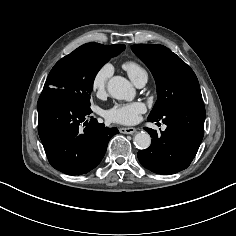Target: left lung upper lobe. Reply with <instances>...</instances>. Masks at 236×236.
Here are the masks:
<instances>
[{
	"label": "left lung upper lobe",
	"mask_w": 236,
	"mask_h": 236,
	"mask_svg": "<svg viewBox=\"0 0 236 236\" xmlns=\"http://www.w3.org/2000/svg\"><path fill=\"white\" fill-rule=\"evenodd\" d=\"M133 52L151 70L157 86L156 101L148 117L161 119L175 104L190 98L202 99L193 70L163 45H132Z\"/></svg>",
	"instance_id": "1"
}]
</instances>
